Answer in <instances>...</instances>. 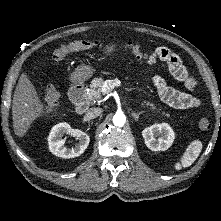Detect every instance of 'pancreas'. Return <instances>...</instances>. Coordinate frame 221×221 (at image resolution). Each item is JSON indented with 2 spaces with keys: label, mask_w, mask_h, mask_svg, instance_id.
<instances>
[{
  "label": "pancreas",
  "mask_w": 221,
  "mask_h": 221,
  "mask_svg": "<svg viewBox=\"0 0 221 221\" xmlns=\"http://www.w3.org/2000/svg\"><path fill=\"white\" fill-rule=\"evenodd\" d=\"M104 79L103 78H94L92 81H91V84H90V90L88 92V98L90 100H95V99H100L101 98V93H102V86L104 84ZM144 104H146V106H150L151 109H155V105L152 104V103H149V102H146L144 101ZM160 111V109H159ZM163 115L169 117V114L167 113H163Z\"/></svg>",
  "instance_id": "pancreas-1"
}]
</instances>
